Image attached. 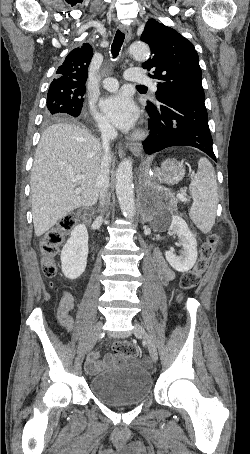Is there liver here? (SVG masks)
I'll use <instances>...</instances> for the list:
<instances>
[{"label":"liver","instance_id":"liver-1","mask_svg":"<svg viewBox=\"0 0 250 454\" xmlns=\"http://www.w3.org/2000/svg\"><path fill=\"white\" fill-rule=\"evenodd\" d=\"M102 156L100 142L77 125L58 123L43 132L30 181L37 237L73 210L97 202Z\"/></svg>","mask_w":250,"mask_h":454}]
</instances>
